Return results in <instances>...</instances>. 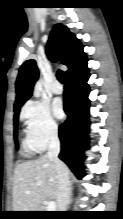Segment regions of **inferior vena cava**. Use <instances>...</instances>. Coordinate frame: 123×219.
<instances>
[{
  "instance_id": "1",
  "label": "inferior vena cava",
  "mask_w": 123,
  "mask_h": 219,
  "mask_svg": "<svg viewBox=\"0 0 123 219\" xmlns=\"http://www.w3.org/2000/svg\"><path fill=\"white\" fill-rule=\"evenodd\" d=\"M60 153V141L58 138L57 129L52 130L50 134V143L47 156L53 160L58 179V194H57V207L58 211H66L70 203V179L67 166L58 158Z\"/></svg>"
}]
</instances>
